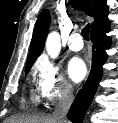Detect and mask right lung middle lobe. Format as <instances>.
Masks as SVG:
<instances>
[{
    "mask_svg": "<svg viewBox=\"0 0 118 123\" xmlns=\"http://www.w3.org/2000/svg\"><path fill=\"white\" fill-rule=\"evenodd\" d=\"M29 70H30V69H26V73H28V72H29Z\"/></svg>",
    "mask_w": 118,
    "mask_h": 123,
    "instance_id": "1",
    "label": "right lung middle lobe"
}]
</instances>
